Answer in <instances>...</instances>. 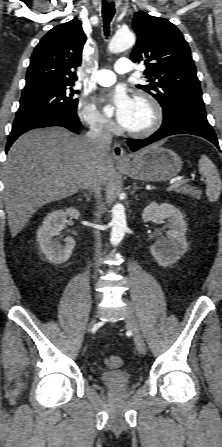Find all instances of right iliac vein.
I'll use <instances>...</instances> for the list:
<instances>
[{"label": "right iliac vein", "instance_id": "obj_1", "mask_svg": "<svg viewBox=\"0 0 222 447\" xmlns=\"http://www.w3.org/2000/svg\"><path fill=\"white\" fill-rule=\"evenodd\" d=\"M96 323V319L91 320V322L89 323V328H92Z\"/></svg>", "mask_w": 222, "mask_h": 447}]
</instances>
